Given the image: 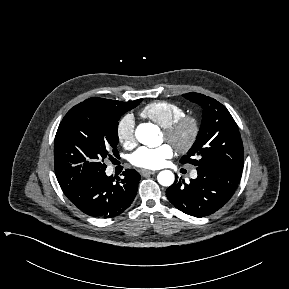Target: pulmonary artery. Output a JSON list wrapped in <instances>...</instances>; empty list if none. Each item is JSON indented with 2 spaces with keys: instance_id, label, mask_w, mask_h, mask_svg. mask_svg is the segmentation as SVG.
Returning <instances> with one entry per match:
<instances>
[{
  "instance_id": "1",
  "label": "pulmonary artery",
  "mask_w": 289,
  "mask_h": 289,
  "mask_svg": "<svg viewBox=\"0 0 289 289\" xmlns=\"http://www.w3.org/2000/svg\"><path fill=\"white\" fill-rule=\"evenodd\" d=\"M191 177H192V178H196V177H197V171H196V170H193V171L191 172Z\"/></svg>"
}]
</instances>
